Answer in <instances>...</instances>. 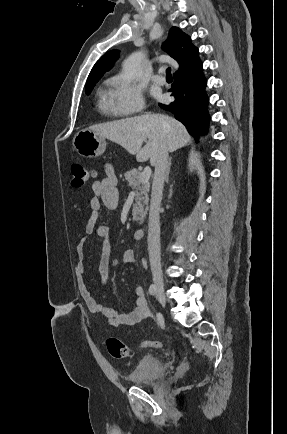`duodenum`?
Listing matches in <instances>:
<instances>
[{
    "label": "duodenum",
    "mask_w": 287,
    "mask_h": 434,
    "mask_svg": "<svg viewBox=\"0 0 287 434\" xmlns=\"http://www.w3.org/2000/svg\"><path fill=\"white\" fill-rule=\"evenodd\" d=\"M143 236H144V229L143 228H138L133 234V238L135 240H140L143 238Z\"/></svg>",
    "instance_id": "410a0bca"
}]
</instances>
